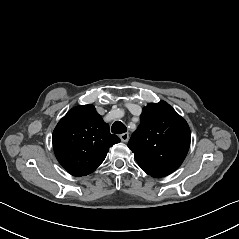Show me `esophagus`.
I'll use <instances>...</instances> for the list:
<instances>
[{
	"label": "esophagus",
	"mask_w": 239,
	"mask_h": 239,
	"mask_svg": "<svg viewBox=\"0 0 239 239\" xmlns=\"http://www.w3.org/2000/svg\"><path fill=\"white\" fill-rule=\"evenodd\" d=\"M119 137H120L121 141L127 142L129 140V133L128 132L122 133L119 135Z\"/></svg>",
	"instance_id": "obj_1"
}]
</instances>
